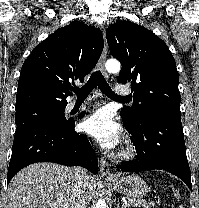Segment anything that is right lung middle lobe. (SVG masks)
Listing matches in <instances>:
<instances>
[{
    "label": "right lung middle lobe",
    "instance_id": "right-lung-middle-lobe-1",
    "mask_svg": "<svg viewBox=\"0 0 199 208\" xmlns=\"http://www.w3.org/2000/svg\"><path fill=\"white\" fill-rule=\"evenodd\" d=\"M64 107L29 106L16 110V125L28 122H46L53 125H64L69 122L65 118Z\"/></svg>",
    "mask_w": 199,
    "mask_h": 208
}]
</instances>
